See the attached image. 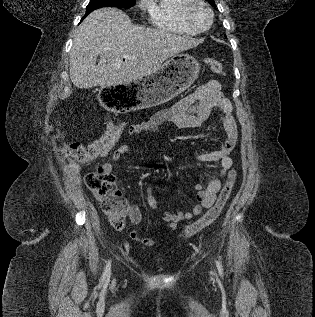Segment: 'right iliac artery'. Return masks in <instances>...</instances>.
Returning a JSON list of instances; mask_svg holds the SVG:
<instances>
[{
	"mask_svg": "<svg viewBox=\"0 0 315 317\" xmlns=\"http://www.w3.org/2000/svg\"><path fill=\"white\" fill-rule=\"evenodd\" d=\"M110 272H111V260H109L106 264L104 273H103V277H102V281H104L106 279V277L110 276Z\"/></svg>",
	"mask_w": 315,
	"mask_h": 317,
	"instance_id": "1",
	"label": "right iliac artery"
}]
</instances>
